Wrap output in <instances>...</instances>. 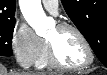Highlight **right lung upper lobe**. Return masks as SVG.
<instances>
[{
	"label": "right lung upper lobe",
	"mask_w": 107,
	"mask_h": 75,
	"mask_svg": "<svg viewBox=\"0 0 107 75\" xmlns=\"http://www.w3.org/2000/svg\"><path fill=\"white\" fill-rule=\"evenodd\" d=\"M15 0H0V21L15 20Z\"/></svg>",
	"instance_id": "1"
}]
</instances>
